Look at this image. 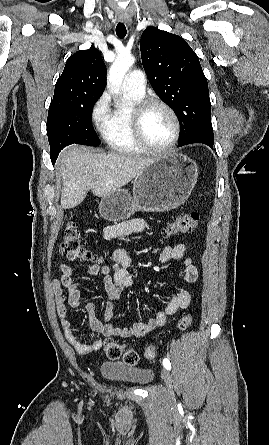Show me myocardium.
<instances>
[{
    "mask_svg": "<svg viewBox=\"0 0 269 445\" xmlns=\"http://www.w3.org/2000/svg\"><path fill=\"white\" fill-rule=\"evenodd\" d=\"M161 107L167 111V113L172 118L173 124H174V133L171 138V140L161 148H155L152 147L145 139L143 134V119L147 111L152 107ZM131 124H132V132L134 139L136 143L147 153L150 154H166L171 149L174 148V146L177 144L180 133H181V124L180 120L174 111V109L167 104L166 102L157 99V98H145L138 101L132 108L131 112Z\"/></svg>",
    "mask_w": 269,
    "mask_h": 445,
    "instance_id": "1",
    "label": "myocardium"
}]
</instances>
